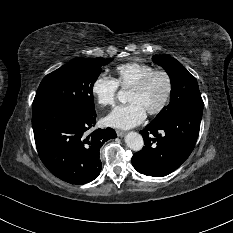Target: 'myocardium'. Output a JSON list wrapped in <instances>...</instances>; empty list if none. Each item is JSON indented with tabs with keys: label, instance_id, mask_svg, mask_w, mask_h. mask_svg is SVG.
Segmentation results:
<instances>
[{
	"label": "myocardium",
	"instance_id": "f54148a6",
	"mask_svg": "<svg viewBox=\"0 0 233 233\" xmlns=\"http://www.w3.org/2000/svg\"><path fill=\"white\" fill-rule=\"evenodd\" d=\"M156 75H162L166 79V85H167L166 92H165L164 98L161 101V103L156 108L147 112L149 115H157L161 113L168 105L172 92H173V80H172L171 75L166 70L156 69L150 72L149 74H147L146 76H144L137 84H135L131 88V90L138 91V92L144 90L149 84V82Z\"/></svg>",
	"mask_w": 233,
	"mask_h": 233
}]
</instances>
